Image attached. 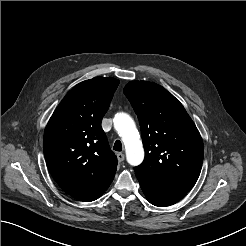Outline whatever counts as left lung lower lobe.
<instances>
[{"mask_svg": "<svg viewBox=\"0 0 246 246\" xmlns=\"http://www.w3.org/2000/svg\"><path fill=\"white\" fill-rule=\"evenodd\" d=\"M147 200L160 207L170 206L181 200L188 191L167 186L147 177L136 175Z\"/></svg>", "mask_w": 246, "mask_h": 246, "instance_id": "1", "label": "left lung lower lobe"}]
</instances>
